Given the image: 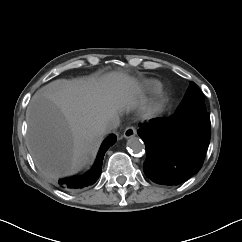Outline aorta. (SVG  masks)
<instances>
[{
    "label": "aorta",
    "instance_id": "aorta-1",
    "mask_svg": "<svg viewBox=\"0 0 242 242\" xmlns=\"http://www.w3.org/2000/svg\"><path fill=\"white\" fill-rule=\"evenodd\" d=\"M127 145L128 150L135 154H141L145 149L144 142L139 137L135 136L128 140Z\"/></svg>",
    "mask_w": 242,
    "mask_h": 242
}]
</instances>
